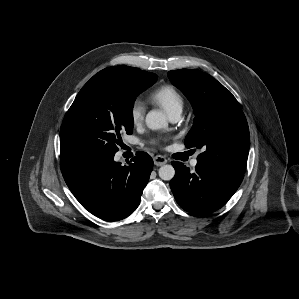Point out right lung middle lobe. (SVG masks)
<instances>
[{"label": "right lung middle lobe", "instance_id": "dd1d6c3e", "mask_svg": "<svg viewBox=\"0 0 299 299\" xmlns=\"http://www.w3.org/2000/svg\"><path fill=\"white\" fill-rule=\"evenodd\" d=\"M157 80L136 79L117 67L95 74L80 90L60 130L61 150L112 155L133 132L136 97Z\"/></svg>", "mask_w": 299, "mask_h": 299}]
</instances>
